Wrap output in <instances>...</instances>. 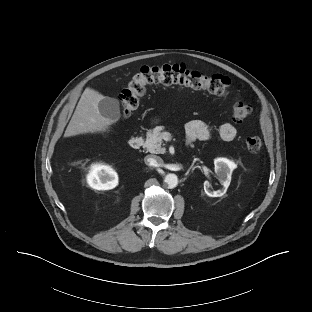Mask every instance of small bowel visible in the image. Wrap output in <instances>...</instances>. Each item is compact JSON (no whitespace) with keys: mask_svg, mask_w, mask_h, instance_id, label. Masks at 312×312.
I'll return each instance as SVG.
<instances>
[{"mask_svg":"<svg viewBox=\"0 0 312 312\" xmlns=\"http://www.w3.org/2000/svg\"><path fill=\"white\" fill-rule=\"evenodd\" d=\"M211 136L210 129L202 121L194 120L186 125V137L188 142L195 140H208ZM237 136V129L231 123H224L219 128V137L223 141H231Z\"/></svg>","mask_w":312,"mask_h":312,"instance_id":"1","label":"small bowel"}]
</instances>
